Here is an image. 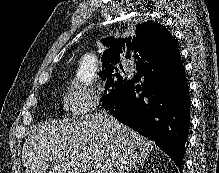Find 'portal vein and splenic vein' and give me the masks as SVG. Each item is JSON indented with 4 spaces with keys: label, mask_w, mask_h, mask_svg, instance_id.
Returning a JSON list of instances; mask_svg holds the SVG:
<instances>
[{
    "label": "portal vein and splenic vein",
    "mask_w": 219,
    "mask_h": 173,
    "mask_svg": "<svg viewBox=\"0 0 219 173\" xmlns=\"http://www.w3.org/2000/svg\"><path fill=\"white\" fill-rule=\"evenodd\" d=\"M89 171V173H94V171L93 170H88Z\"/></svg>",
    "instance_id": "18ae733b"
}]
</instances>
